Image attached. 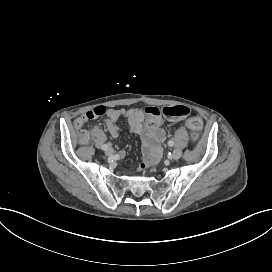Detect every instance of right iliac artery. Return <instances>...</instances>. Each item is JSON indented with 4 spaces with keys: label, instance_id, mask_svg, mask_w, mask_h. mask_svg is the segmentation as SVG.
<instances>
[{
    "label": "right iliac artery",
    "instance_id": "1",
    "mask_svg": "<svg viewBox=\"0 0 272 272\" xmlns=\"http://www.w3.org/2000/svg\"><path fill=\"white\" fill-rule=\"evenodd\" d=\"M109 145H110L109 143H108V144H104V145L102 146V149H103V150H107L108 147H109Z\"/></svg>",
    "mask_w": 272,
    "mask_h": 272
}]
</instances>
